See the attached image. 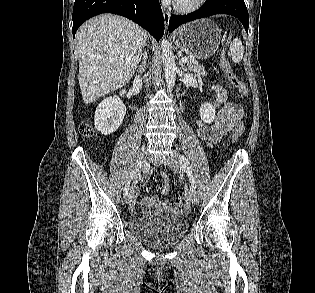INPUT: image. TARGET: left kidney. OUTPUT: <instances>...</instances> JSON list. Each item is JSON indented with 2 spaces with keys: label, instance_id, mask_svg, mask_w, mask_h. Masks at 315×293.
Instances as JSON below:
<instances>
[{
  "label": "left kidney",
  "instance_id": "left-kidney-1",
  "mask_svg": "<svg viewBox=\"0 0 315 293\" xmlns=\"http://www.w3.org/2000/svg\"><path fill=\"white\" fill-rule=\"evenodd\" d=\"M199 114L205 123H211L215 117V107L210 103H203L200 107Z\"/></svg>",
  "mask_w": 315,
  "mask_h": 293
}]
</instances>
